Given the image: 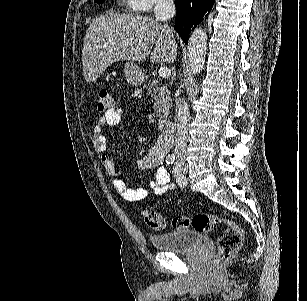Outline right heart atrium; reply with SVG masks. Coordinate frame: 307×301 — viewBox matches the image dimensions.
Returning a JSON list of instances; mask_svg holds the SVG:
<instances>
[{"label":"right heart atrium","mask_w":307,"mask_h":301,"mask_svg":"<svg viewBox=\"0 0 307 301\" xmlns=\"http://www.w3.org/2000/svg\"><path fill=\"white\" fill-rule=\"evenodd\" d=\"M134 11H155L161 7V0H133Z\"/></svg>","instance_id":"1"}]
</instances>
